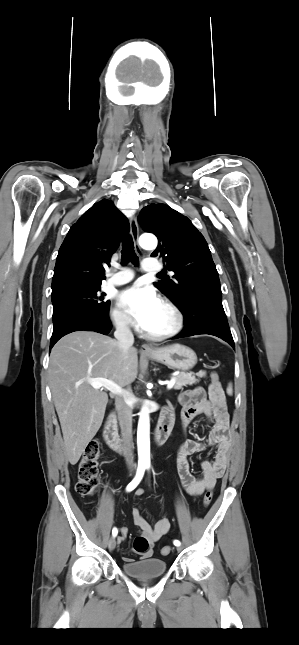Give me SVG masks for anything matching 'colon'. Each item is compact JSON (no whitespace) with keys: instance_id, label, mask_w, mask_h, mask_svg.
<instances>
[{"instance_id":"obj_1","label":"colon","mask_w":299,"mask_h":645,"mask_svg":"<svg viewBox=\"0 0 299 645\" xmlns=\"http://www.w3.org/2000/svg\"><path fill=\"white\" fill-rule=\"evenodd\" d=\"M210 389L218 391L221 389L219 376L216 372H211ZM99 443L96 440L88 443L78 465V480L76 491L82 496H92L100 482L98 470ZM212 492L206 491L203 498L205 506H209L212 501ZM133 549L136 553H144L148 549V541L143 536H137L133 542ZM171 552L170 546H164L161 549L162 555H168Z\"/></svg>"}]
</instances>
